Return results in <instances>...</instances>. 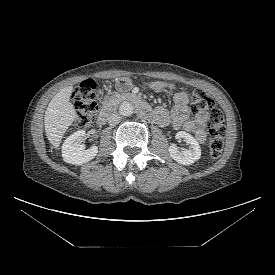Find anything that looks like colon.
<instances>
[{
    "mask_svg": "<svg viewBox=\"0 0 275 275\" xmlns=\"http://www.w3.org/2000/svg\"><path fill=\"white\" fill-rule=\"evenodd\" d=\"M96 85L92 80L83 81L73 92L72 100L77 111L76 125L79 128L89 127L95 117L98 105L95 98ZM190 108L192 113L209 110L207 121L208 150L211 159L220 156L225 133V122L222 112L216 108L214 100L201 89L191 93Z\"/></svg>",
    "mask_w": 275,
    "mask_h": 275,
    "instance_id": "obj_1",
    "label": "colon"
}]
</instances>
